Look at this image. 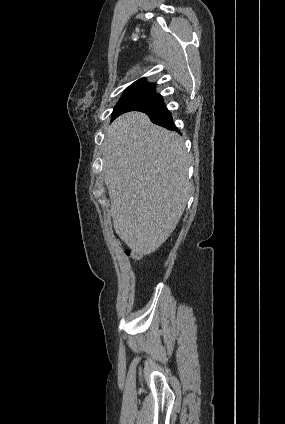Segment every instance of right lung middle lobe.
<instances>
[{"label":"right lung middle lobe","mask_w":285,"mask_h":424,"mask_svg":"<svg viewBox=\"0 0 285 424\" xmlns=\"http://www.w3.org/2000/svg\"><path fill=\"white\" fill-rule=\"evenodd\" d=\"M156 93L153 84H137L129 86L112 112V119L119 116L131 103Z\"/></svg>","instance_id":"obj_1"}]
</instances>
